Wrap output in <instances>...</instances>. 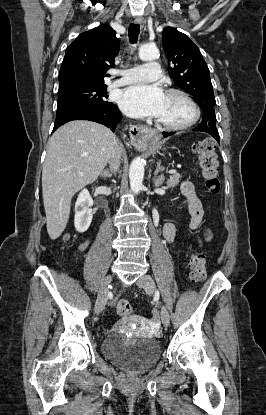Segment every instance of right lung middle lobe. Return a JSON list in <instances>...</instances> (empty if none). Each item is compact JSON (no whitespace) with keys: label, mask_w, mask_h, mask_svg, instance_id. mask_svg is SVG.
Segmentation results:
<instances>
[{"label":"right lung middle lobe","mask_w":266,"mask_h":415,"mask_svg":"<svg viewBox=\"0 0 266 415\" xmlns=\"http://www.w3.org/2000/svg\"><path fill=\"white\" fill-rule=\"evenodd\" d=\"M106 85L85 87L58 93V105L89 104L100 107L113 105L107 101Z\"/></svg>","instance_id":"1"}]
</instances>
